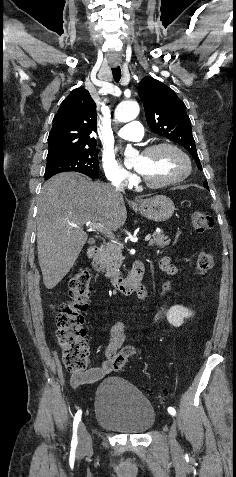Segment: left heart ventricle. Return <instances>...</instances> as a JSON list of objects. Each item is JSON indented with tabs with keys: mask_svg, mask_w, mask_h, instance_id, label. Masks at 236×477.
I'll list each match as a JSON object with an SVG mask.
<instances>
[{
	"mask_svg": "<svg viewBox=\"0 0 236 477\" xmlns=\"http://www.w3.org/2000/svg\"><path fill=\"white\" fill-rule=\"evenodd\" d=\"M135 168L148 180L162 182L185 172L186 162L172 149L162 148L151 154L138 156L135 160Z\"/></svg>",
	"mask_w": 236,
	"mask_h": 477,
	"instance_id": "1",
	"label": "left heart ventricle"
}]
</instances>
